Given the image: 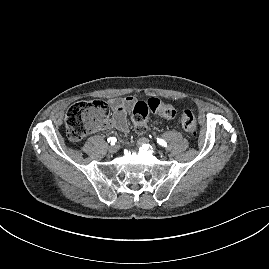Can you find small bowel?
<instances>
[{"label": "small bowel", "instance_id": "1", "mask_svg": "<svg viewBox=\"0 0 269 269\" xmlns=\"http://www.w3.org/2000/svg\"><path fill=\"white\" fill-rule=\"evenodd\" d=\"M108 103L112 110V117L105 119L104 123L99 128H116L121 133H127L129 128L127 113L134 108L136 104V98L133 96H127L124 98H111Z\"/></svg>", "mask_w": 269, "mask_h": 269}]
</instances>
